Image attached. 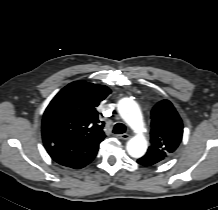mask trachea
<instances>
[{
    "instance_id": "3493384b",
    "label": "trachea",
    "mask_w": 218,
    "mask_h": 210,
    "mask_svg": "<svg viewBox=\"0 0 218 210\" xmlns=\"http://www.w3.org/2000/svg\"><path fill=\"white\" fill-rule=\"evenodd\" d=\"M125 131H126V127L122 123L115 124V126L113 128V133H115V134H123V133H125Z\"/></svg>"
}]
</instances>
